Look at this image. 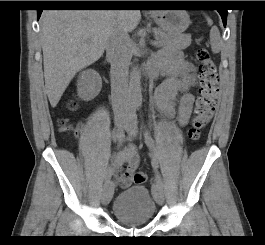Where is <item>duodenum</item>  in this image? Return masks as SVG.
<instances>
[{"label": "duodenum", "instance_id": "obj_1", "mask_svg": "<svg viewBox=\"0 0 265 245\" xmlns=\"http://www.w3.org/2000/svg\"><path fill=\"white\" fill-rule=\"evenodd\" d=\"M143 71L147 80L153 79L155 70H153L150 66L145 65Z\"/></svg>", "mask_w": 265, "mask_h": 245}]
</instances>
